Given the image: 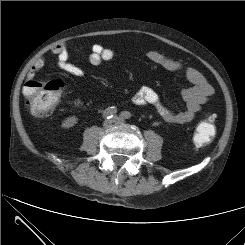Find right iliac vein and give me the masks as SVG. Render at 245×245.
Listing matches in <instances>:
<instances>
[{
    "label": "right iliac vein",
    "mask_w": 245,
    "mask_h": 245,
    "mask_svg": "<svg viewBox=\"0 0 245 245\" xmlns=\"http://www.w3.org/2000/svg\"><path fill=\"white\" fill-rule=\"evenodd\" d=\"M117 123V119L114 117L113 119H110V120H106L104 123H103V127L104 128H110L113 124Z\"/></svg>",
    "instance_id": "obj_1"
}]
</instances>
